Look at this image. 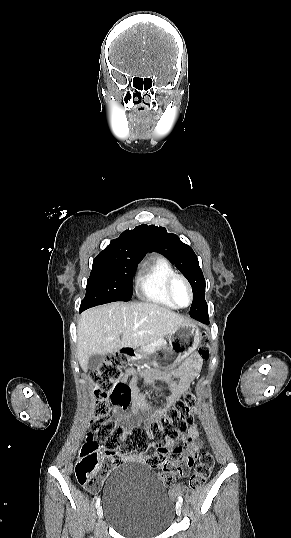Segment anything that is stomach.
<instances>
[{
	"instance_id": "0dacf381",
	"label": "stomach",
	"mask_w": 291,
	"mask_h": 538,
	"mask_svg": "<svg viewBox=\"0 0 291 538\" xmlns=\"http://www.w3.org/2000/svg\"><path fill=\"white\" fill-rule=\"evenodd\" d=\"M201 340V333L194 323L179 326L169 334V347H160L153 353H145L139 349L134 350L127 357L130 363L151 361L156 369L162 373L176 369L178 363H186L187 354L195 352Z\"/></svg>"
}]
</instances>
